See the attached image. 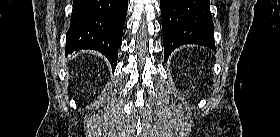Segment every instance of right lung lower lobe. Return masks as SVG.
<instances>
[{"mask_svg": "<svg viewBox=\"0 0 280 137\" xmlns=\"http://www.w3.org/2000/svg\"><path fill=\"white\" fill-rule=\"evenodd\" d=\"M73 7L66 54L82 49L97 50L106 56L114 70L128 0H74Z\"/></svg>", "mask_w": 280, "mask_h": 137, "instance_id": "98d812e1", "label": "right lung lower lobe"}]
</instances>
